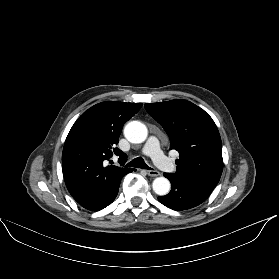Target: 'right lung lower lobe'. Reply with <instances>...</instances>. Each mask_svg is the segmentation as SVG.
Here are the masks:
<instances>
[{
    "label": "right lung lower lobe",
    "instance_id": "98d812e1",
    "mask_svg": "<svg viewBox=\"0 0 279 279\" xmlns=\"http://www.w3.org/2000/svg\"><path fill=\"white\" fill-rule=\"evenodd\" d=\"M119 185L120 183H118L109 193H107L101 199H98L96 201H93L91 203L82 206L88 210H95V211L105 208L106 206H108L110 203L114 201L115 197L118 194Z\"/></svg>",
    "mask_w": 279,
    "mask_h": 279
}]
</instances>
